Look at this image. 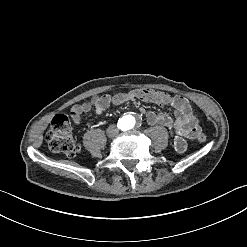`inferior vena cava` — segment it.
Here are the masks:
<instances>
[{
	"label": "inferior vena cava",
	"mask_w": 247,
	"mask_h": 247,
	"mask_svg": "<svg viewBox=\"0 0 247 247\" xmlns=\"http://www.w3.org/2000/svg\"><path fill=\"white\" fill-rule=\"evenodd\" d=\"M119 133V129L116 125H110L107 129V134L109 137H116Z\"/></svg>",
	"instance_id": "inferior-vena-cava-1"
}]
</instances>
